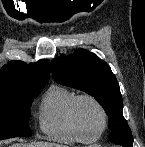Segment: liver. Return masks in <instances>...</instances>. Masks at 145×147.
Here are the masks:
<instances>
[{"label": "liver", "instance_id": "6515ba94", "mask_svg": "<svg viewBox=\"0 0 145 147\" xmlns=\"http://www.w3.org/2000/svg\"><path fill=\"white\" fill-rule=\"evenodd\" d=\"M12 147H64V146L49 142H32L29 144H13Z\"/></svg>", "mask_w": 145, "mask_h": 147}]
</instances>
